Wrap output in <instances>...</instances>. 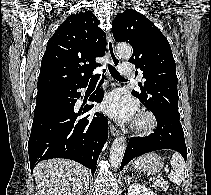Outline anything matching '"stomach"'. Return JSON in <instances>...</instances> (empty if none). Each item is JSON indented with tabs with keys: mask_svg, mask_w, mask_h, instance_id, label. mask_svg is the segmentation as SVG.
Returning a JSON list of instances; mask_svg holds the SVG:
<instances>
[{
	"mask_svg": "<svg viewBox=\"0 0 211 195\" xmlns=\"http://www.w3.org/2000/svg\"><path fill=\"white\" fill-rule=\"evenodd\" d=\"M163 165L162 158L153 152L140 156L132 163L134 170L147 172L149 174L159 172Z\"/></svg>",
	"mask_w": 211,
	"mask_h": 195,
	"instance_id": "stomach-1",
	"label": "stomach"
}]
</instances>
